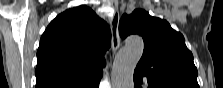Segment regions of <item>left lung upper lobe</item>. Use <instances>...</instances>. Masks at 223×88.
Returning a JSON list of instances; mask_svg holds the SVG:
<instances>
[{"mask_svg":"<svg viewBox=\"0 0 223 88\" xmlns=\"http://www.w3.org/2000/svg\"><path fill=\"white\" fill-rule=\"evenodd\" d=\"M119 31L122 38L138 34L144 40L143 55L134 71L137 88L143 78L147 79L148 88H200L193 55L184 37L166 20L136 9L131 15L122 16Z\"/></svg>","mask_w":223,"mask_h":88,"instance_id":"obj_1","label":"left lung upper lobe"}]
</instances>
